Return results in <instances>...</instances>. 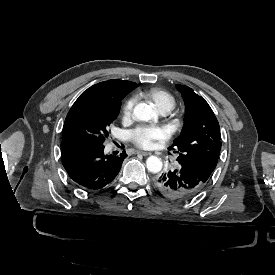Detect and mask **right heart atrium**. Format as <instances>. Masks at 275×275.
<instances>
[{
    "mask_svg": "<svg viewBox=\"0 0 275 275\" xmlns=\"http://www.w3.org/2000/svg\"><path fill=\"white\" fill-rule=\"evenodd\" d=\"M133 106H134V99L130 98L125 101L123 108H122V113H123V119L128 120L132 116V111H133Z\"/></svg>",
    "mask_w": 275,
    "mask_h": 275,
    "instance_id": "1",
    "label": "right heart atrium"
}]
</instances>
